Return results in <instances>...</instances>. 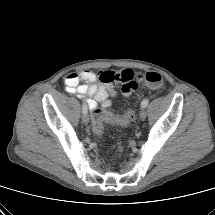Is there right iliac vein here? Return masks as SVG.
Here are the masks:
<instances>
[{
    "label": "right iliac vein",
    "mask_w": 215,
    "mask_h": 215,
    "mask_svg": "<svg viewBox=\"0 0 215 215\" xmlns=\"http://www.w3.org/2000/svg\"><path fill=\"white\" fill-rule=\"evenodd\" d=\"M82 121H83L84 124H88L89 117H88L87 113L82 115Z\"/></svg>",
    "instance_id": "1"
}]
</instances>
